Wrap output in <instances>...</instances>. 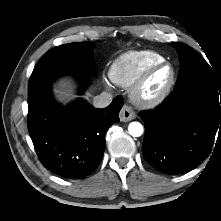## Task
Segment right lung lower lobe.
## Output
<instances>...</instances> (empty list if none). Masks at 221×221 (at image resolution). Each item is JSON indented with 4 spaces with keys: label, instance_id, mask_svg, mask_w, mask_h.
Listing matches in <instances>:
<instances>
[{
    "label": "right lung lower lobe",
    "instance_id": "1",
    "mask_svg": "<svg viewBox=\"0 0 221 221\" xmlns=\"http://www.w3.org/2000/svg\"><path fill=\"white\" fill-rule=\"evenodd\" d=\"M77 76L82 89L89 83L84 73ZM52 78L28 92V130L43 166L66 179H81L98 167L104 150L105 134L119 121L123 106L116 97L104 109H95L80 99L62 107L51 95Z\"/></svg>",
    "mask_w": 221,
    "mask_h": 221
}]
</instances>
